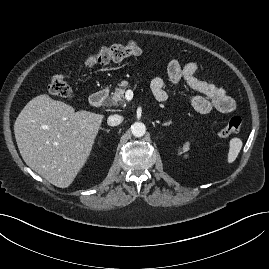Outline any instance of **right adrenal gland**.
Here are the masks:
<instances>
[{
  "label": "right adrenal gland",
  "instance_id": "2a0ac1e0",
  "mask_svg": "<svg viewBox=\"0 0 269 269\" xmlns=\"http://www.w3.org/2000/svg\"><path fill=\"white\" fill-rule=\"evenodd\" d=\"M106 132H107V133H109V132H110V130H108V129H107V130H106Z\"/></svg>",
  "mask_w": 269,
  "mask_h": 269
}]
</instances>
